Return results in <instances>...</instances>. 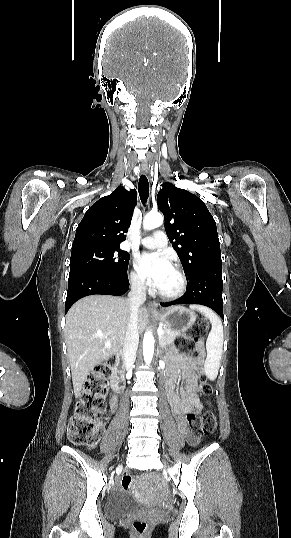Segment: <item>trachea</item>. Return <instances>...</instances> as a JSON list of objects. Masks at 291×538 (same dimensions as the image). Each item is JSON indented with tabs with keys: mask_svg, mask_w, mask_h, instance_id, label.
Returning a JSON list of instances; mask_svg holds the SVG:
<instances>
[{
	"mask_svg": "<svg viewBox=\"0 0 291 538\" xmlns=\"http://www.w3.org/2000/svg\"><path fill=\"white\" fill-rule=\"evenodd\" d=\"M138 189L141 201L145 204L149 196V182L145 175L140 176Z\"/></svg>",
	"mask_w": 291,
	"mask_h": 538,
	"instance_id": "1",
	"label": "trachea"
}]
</instances>
